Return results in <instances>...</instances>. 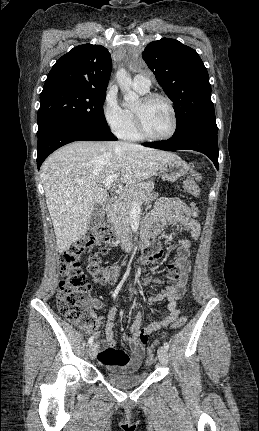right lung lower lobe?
I'll use <instances>...</instances> for the list:
<instances>
[{"label":"right lung lower lobe","mask_w":259,"mask_h":431,"mask_svg":"<svg viewBox=\"0 0 259 431\" xmlns=\"http://www.w3.org/2000/svg\"><path fill=\"white\" fill-rule=\"evenodd\" d=\"M37 167L56 149L74 141H115L108 127H98L76 120L64 119L46 124L38 129Z\"/></svg>","instance_id":"right-lung-lower-lobe-1"}]
</instances>
